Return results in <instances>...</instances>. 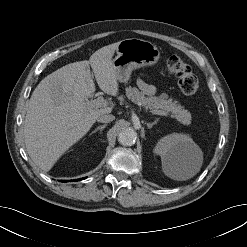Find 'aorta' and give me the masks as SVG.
Returning a JSON list of instances; mask_svg holds the SVG:
<instances>
[{
	"mask_svg": "<svg viewBox=\"0 0 247 247\" xmlns=\"http://www.w3.org/2000/svg\"><path fill=\"white\" fill-rule=\"evenodd\" d=\"M136 132L132 128L123 129L118 135V142L124 146H131L136 140Z\"/></svg>",
	"mask_w": 247,
	"mask_h": 247,
	"instance_id": "1",
	"label": "aorta"
}]
</instances>
